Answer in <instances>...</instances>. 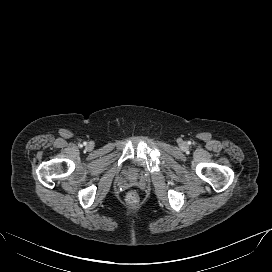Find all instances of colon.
I'll use <instances>...</instances> for the list:
<instances>
[{
    "instance_id": "obj_1",
    "label": "colon",
    "mask_w": 272,
    "mask_h": 272,
    "mask_svg": "<svg viewBox=\"0 0 272 272\" xmlns=\"http://www.w3.org/2000/svg\"><path fill=\"white\" fill-rule=\"evenodd\" d=\"M126 201L130 205H134L139 201V195L136 191H130L128 192L126 196Z\"/></svg>"
}]
</instances>
